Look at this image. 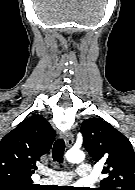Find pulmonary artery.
Here are the masks:
<instances>
[{"instance_id":"pulmonary-artery-1","label":"pulmonary artery","mask_w":135,"mask_h":190,"mask_svg":"<svg viewBox=\"0 0 135 190\" xmlns=\"http://www.w3.org/2000/svg\"><path fill=\"white\" fill-rule=\"evenodd\" d=\"M42 174H44L46 178H42L40 183L61 185L68 183L74 175L84 179L90 178L92 175V169L89 164L80 163L78 164L74 174L68 171L56 170H44Z\"/></svg>"}]
</instances>
